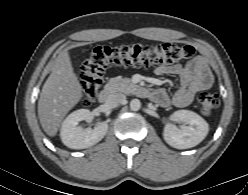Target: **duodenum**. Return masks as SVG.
<instances>
[{
  "instance_id": "1",
  "label": "duodenum",
  "mask_w": 248,
  "mask_h": 195,
  "mask_svg": "<svg viewBox=\"0 0 248 195\" xmlns=\"http://www.w3.org/2000/svg\"><path fill=\"white\" fill-rule=\"evenodd\" d=\"M135 93L140 97H148L149 90L146 87L138 86ZM113 99V90L110 87L103 88L98 94V100L101 103H110Z\"/></svg>"
}]
</instances>
